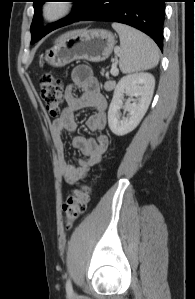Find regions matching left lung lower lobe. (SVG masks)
<instances>
[{"mask_svg": "<svg viewBox=\"0 0 195 299\" xmlns=\"http://www.w3.org/2000/svg\"><path fill=\"white\" fill-rule=\"evenodd\" d=\"M166 0H92L76 21H112L130 25L150 36L162 50Z\"/></svg>", "mask_w": 195, "mask_h": 299, "instance_id": "1", "label": "left lung lower lobe"}]
</instances>
